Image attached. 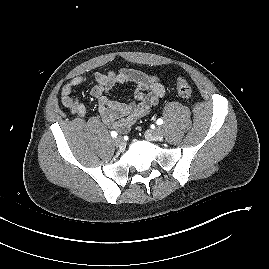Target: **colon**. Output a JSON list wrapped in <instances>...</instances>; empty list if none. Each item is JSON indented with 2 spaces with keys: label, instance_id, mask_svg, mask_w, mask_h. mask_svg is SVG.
Masks as SVG:
<instances>
[{
  "label": "colon",
  "instance_id": "obj_1",
  "mask_svg": "<svg viewBox=\"0 0 269 269\" xmlns=\"http://www.w3.org/2000/svg\"><path fill=\"white\" fill-rule=\"evenodd\" d=\"M176 85H177V92L181 98L186 99V100L191 98L192 90L189 83L184 77H181V76L178 77Z\"/></svg>",
  "mask_w": 269,
  "mask_h": 269
}]
</instances>
